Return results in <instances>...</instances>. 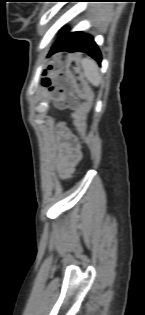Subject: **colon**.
I'll list each match as a JSON object with an SVG mask.
<instances>
[{
    "label": "colon",
    "mask_w": 145,
    "mask_h": 315,
    "mask_svg": "<svg viewBox=\"0 0 145 315\" xmlns=\"http://www.w3.org/2000/svg\"><path fill=\"white\" fill-rule=\"evenodd\" d=\"M44 85L55 92L57 105L61 108L75 109V124L81 134L86 130V114L88 103L79 104V98L89 101L91 92L82 78V73L77 57H71L67 63L66 72L61 64L54 60L43 69ZM76 91L74 95L72 90Z\"/></svg>",
    "instance_id": "obj_1"
}]
</instances>
